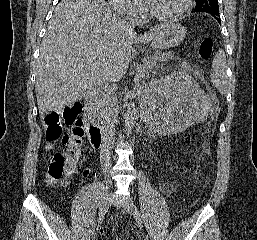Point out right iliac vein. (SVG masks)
<instances>
[{
    "label": "right iliac vein",
    "mask_w": 257,
    "mask_h": 240,
    "mask_svg": "<svg viewBox=\"0 0 257 240\" xmlns=\"http://www.w3.org/2000/svg\"><path fill=\"white\" fill-rule=\"evenodd\" d=\"M110 202H111V199L109 197L108 187H106L104 190V194L102 196L101 202H100L99 214H104V212L108 208ZM93 233H94V228L89 229L82 237V240H91L93 237Z\"/></svg>",
    "instance_id": "right-iliac-vein-1"
}]
</instances>
